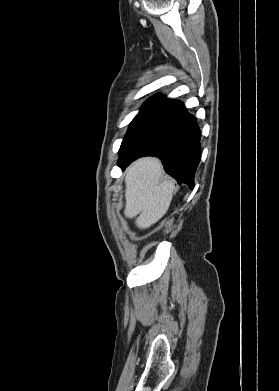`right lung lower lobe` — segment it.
Here are the masks:
<instances>
[{"instance_id":"obj_1","label":"right lung lower lobe","mask_w":279,"mask_h":391,"mask_svg":"<svg viewBox=\"0 0 279 391\" xmlns=\"http://www.w3.org/2000/svg\"><path fill=\"white\" fill-rule=\"evenodd\" d=\"M200 135L196 118L181 101H176L162 110L138 137L120 148L118 165L124 170L141 156L156 155L179 184L194 188L201 154Z\"/></svg>"}]
</instances>
